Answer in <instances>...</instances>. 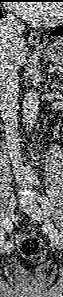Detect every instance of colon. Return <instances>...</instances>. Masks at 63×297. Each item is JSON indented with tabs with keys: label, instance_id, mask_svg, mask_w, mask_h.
<instances>
[{
	"label": "colon",
	"instance_id": "1",
	"mask_svg": "<svg viewBox=\"0 0 63 297\" xmlns=\"http://www.w3.org/2000/svg\"><path fill=\"white\" fill-rule=\"evenodd\" d=\"M17 245L20 253L28 259L42 261L45 257L44 243L36 236L21 234L17 237Z\"/></svg>",
	"mask_w": 63,
	"mask_h": 297
}]
</instances>
